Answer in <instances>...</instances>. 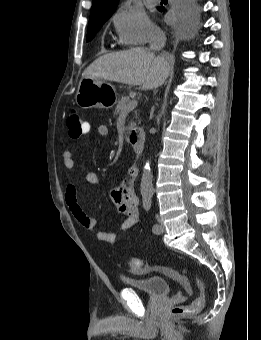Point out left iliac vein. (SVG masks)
Masks as SVG:
<instances>
[{"instance_id": "1", "label": "left iliac vein", "mask_w": 261, "mask_h": 340, "mask_svg": "<svg viewBox=\"0 0 261 340\" xmlns=\"http://www.w3.org/2000/svg\"><path fill=\"white\" fill-rule=\"evenodd\" d=\"M157 219H158V226H159V228H158L157 231H155V233H156V234H161V233L164 232L165 226H164V224L162 223L160 217H158Z\"/></svg>"}]
</instances>
